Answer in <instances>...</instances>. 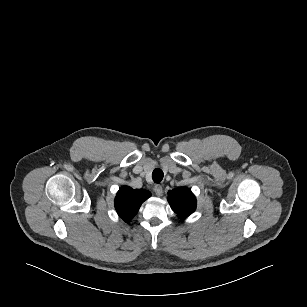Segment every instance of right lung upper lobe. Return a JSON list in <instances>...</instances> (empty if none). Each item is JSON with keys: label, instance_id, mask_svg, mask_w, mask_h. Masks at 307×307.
Returning <instances> with one entry per match:
<instances>
[{"label": "right lung upper lobe", "instance_id": "1", "mask_svg": "<svg viewBox=\"0 0 307 307\" xmlns=\"http://www.w3.org/2000/svg\"><path fill=\"white\" fill-rule=\"evenodd\" d=\"M151 196L145 189L123 187L115 198V209L124 221H130L138 212L141 204Z\"/></svg>", "mask_w": 307, "mask_h": 307}]
</instances>
